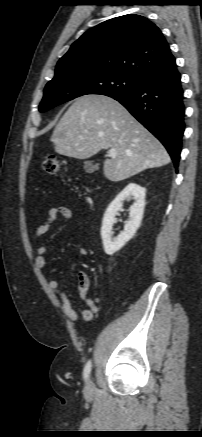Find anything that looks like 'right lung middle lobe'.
Listing matches in <instances>:
<instances>
[{"instance_id":"dd1d6c3e","label":"right lung middle lobe","mask_w":202,"mask_h":437,"mask_svg":"<svg viewBox=\"0 0 202 437\" xmlns=\"http://www.w3.org/2000/svg\"><path fill=\"white\" fill-rule=\"evenodd\" d=\"M140 79L121 73H66L49 81L40 112L87 94L111 96L135 89Z\"/></svg>"}]
</instances>
